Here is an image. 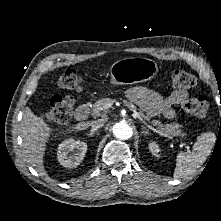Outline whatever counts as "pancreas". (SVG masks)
<instances>
[{"label": "pancreas", "instance_id": "obj_1", "mask_svg": "<svg viewBox=\"0 0 221 221\" xmlns=\"http://www.w3.org/2000/svg\"><path fill=\"white\" fill-rule=\"evenodd\" d=\"M114 102H115V100L110 99V98H102V99L97 100L93 105L92 115L100 116L101 112L106 111L107 105L113 104ZM123 103L125 106L130 108V110L136 111V106L133 103L128 102L127 100H123ZM140 116L142 118H144L145 120L149 121L151 125L156 126L159 131H161L167 135L176 136V135L182 134L181 126L177 123L162 124L161 121H159V120H150L143 113H140Z\"/></svg>", "mask_w": 221, "mask_h": 221}]
</instances>
